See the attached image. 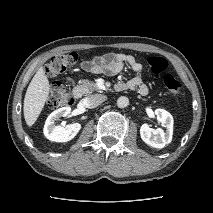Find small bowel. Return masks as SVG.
<instances>
[{
    "label": "small bowel",
    "instance_id": "obj_1",
    "mask_svg": "<svg viewBox=\"0 0 213 213\" xmlns=\"http://www.w3.org/2000/svg\"><path fill=\"white\" fill-rule=\"evenodd\" d=\"M125 66L131 68L136 75L128 81L119 82L116 85V88L118 90H137L141 95H147L148 87L143 83L140 76L143 67L132 55L113 53L95 57L81 63V68L85 71L92 73H104L111 76L120 73Z\"/></svg>",
    "mask_w": 213,
    "mask_h": 213
}]
</instances>
